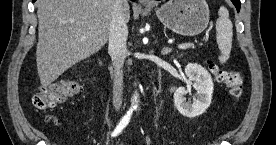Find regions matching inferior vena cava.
<instances>
[{
  "mask_svg": "<svg viewBox=\"0 0 276 145\" xmlns=\"http://www.w3.org/2000/svg\"><path fill=\"white\" fill-rule=\"evenodd\" d=\"M127 0H114L113 13L109 32L108 52L112 59L114 67L113 83V106L119 110L122 106L123 94V65L127 57L128 50L126 41L128 37V28L126 21V10L128 9Z\"/></svg>",
  "mask_w": 276,
  "mask_h": 145,
  "instance_id": "obj_1",
  "label": "inferior vena cava"
}]
</instances>
